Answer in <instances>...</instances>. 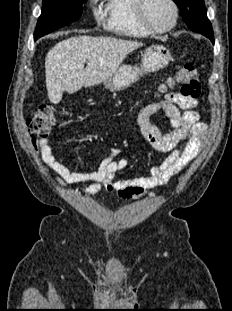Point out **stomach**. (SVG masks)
<instances>
[{
    "label": "stomach",
    "mask_w": 232,
    "mask_h": 311,
    "mask_svg": "<svg viewBox=\"0 0 232 311\" xmlns=\"http://www.w3.org/2000/svg\"><path fill=\"white\" fill-rule=\"evenodd\" d=\"M171 59L172 55L166 47L151 45L145 50L140 67L121 65L110 78L103 82V85L110 91L124 90L143 75L165 68Z\"/></svg>",
    "instance_id": "obj_1"
}]
</instances>
